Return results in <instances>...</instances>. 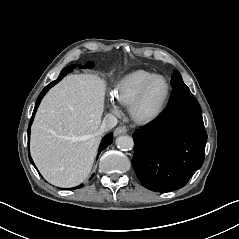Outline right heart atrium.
<instances>
[{"mask_svg": "<svg viewBox=\"0 0 239 239\" xmlns=\"http://www.w3.org/2000/svg\"><path fill=\"white\" fill-rule=\"evenodd\" d=\"M109 108H110L112 111H117V110H118L117 105L114 104V103H110V104H109Z\"/></svg>", "mask_w": 239, "mask_h": 239, "instance_id": "obj_1", "label": "right heart atrium"}]
</instances>
